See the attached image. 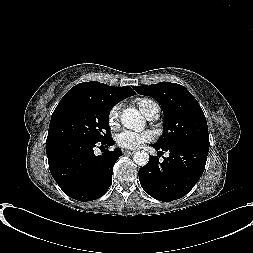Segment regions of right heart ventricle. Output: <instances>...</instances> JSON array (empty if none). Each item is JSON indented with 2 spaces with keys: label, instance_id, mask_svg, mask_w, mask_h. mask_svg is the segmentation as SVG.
<instances>
[{
  "label": "right heart ventricle",
  "instance_id": "e07e8e85",
  "mask_svg": "<svg viewBox=\"0 0 253 253\" xmlns=\"http://www.w3.org/2000/svg\"><path fill=\"white\" fill-rule=\"evenodd\" d=\"M153 101L149 100V99H141L137 101V105L139 107V109L141 110V112L146 116L151 105H152Z\"/></svg>",
  "mask_w": 253,
  "mask_h": 253
}]
</instances>
